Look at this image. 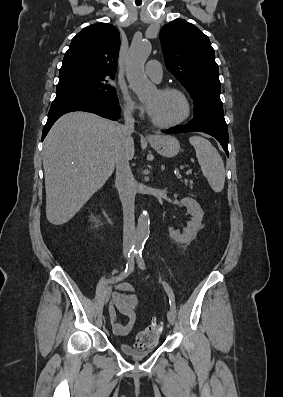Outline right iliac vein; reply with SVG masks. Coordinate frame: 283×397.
<instances>
[{
  "instance_id": "63e3f726",
  "label": "right iliac vein",
  "mask_w": 283,
  "mask_h": 397,
  "mask_svg": "<svg viewBox=\"0 0 283 397\" xmlns=\"http://www.w3.org/2000/svg\"><path fill=\"white\" fill-rule=\"evenodd\" d=\"M110 294H111V287L109 286V287L106 289V292H105V303H107V302L109 301V299H110Z\"/></svg>"
}]
</instances>
